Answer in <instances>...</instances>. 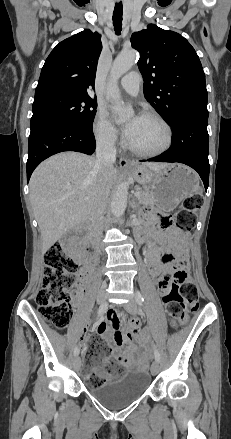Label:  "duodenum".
Listing matches in <instances>:
<instances>
[{
	"instance_id": "duodenum-1",
	"label": "duodenum",
	"mask_w": 231,
	"mask_h": 439,
	"mask_svg": "<svg viewBox=\"0 0 231 439\" xmlns=\"http://www.w3.org/2000/svg\"><path fill=\"white\" fill-rule=\"evenodd\" d=\"M81 232H82L81 228L76 227V228H74L72 235H79V234H81ZM86 247H87V249H88V251L90 253L89 262H93L95 260V257H92V254H93V244L87 243Z\"/></svg>"
}]
</instances>
